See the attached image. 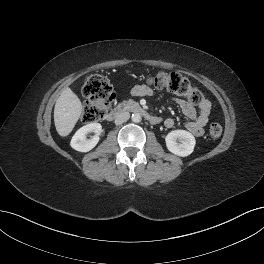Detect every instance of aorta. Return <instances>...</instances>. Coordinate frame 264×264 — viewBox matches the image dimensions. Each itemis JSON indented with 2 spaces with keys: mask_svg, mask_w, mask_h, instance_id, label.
<instances>
[{
  "mask_svg": "<svg viewBox=\"0 0 264 264\" xmlns=\"http://www.w3.org/2000/svg\"><path fill=\"white\" fill-rule=\"evenodd\" d=\"M132 121H133L134 123H139V122H141V116H140V114H139V113H133V114H132Z\"/></svg>",
  "mask_w": 264,
  "mask_h": 264,
  "instance_id": "obj_1",
  "label": "aorta"
}]
</instances>
